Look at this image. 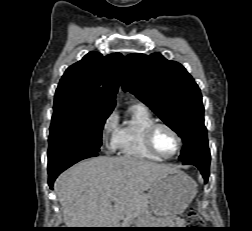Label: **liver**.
Here are the masks:
<instances>
[{"mask_svg":"<svg viewBox=\"0 0 252 231\" xmlns=\"http://www.w3.org/2000/svg\"><path fill=\"white\" fill-rule=\"evenodd\" d=\"M174 172L168 164L100 156L63 172L54 190L68 228H117L139 215L137 201L144 191Z\"/></svg>","mask_w":252,"mask_h":231,"instance_id":"obj_1","label":"liver"}]
</instances>
